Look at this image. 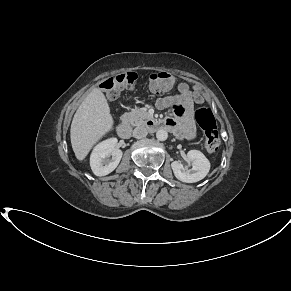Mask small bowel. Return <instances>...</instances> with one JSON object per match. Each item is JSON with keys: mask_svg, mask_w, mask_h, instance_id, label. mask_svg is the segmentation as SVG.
<instances>
[{"mask_svg": "<svg viewBox=\"0 0 291 291\" xmlns=\"http://www.w3.org/2000/svg\"><path fill=\"white\" fill-rule=\"evenodd\" d=\"M192 101V94L187 83L179 84L177 93L156 100L158 108H173L177 115V118H166L164 120L167 129L189 140L196 135L194 120L190 112Z\"/></svg>", "mask_w": 291, "mask_h": 291, "instance_id": "c3829d8e", "label": "small bowel"}]
</instances>
